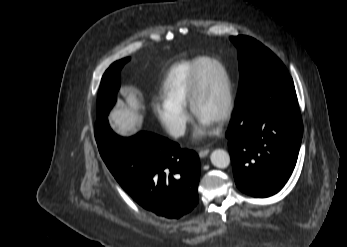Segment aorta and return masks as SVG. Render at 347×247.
I'll list each match as a JSON object with an SVG mask.
<instances>
[{"mask_svg":"<svg viewBox=\"0 0 347 247\" xmlns=\"http://www.w3.org/2000/svg\"><path fill=\"white\" fill-rule=\"evenodd\" d=\"M211 163L217 168H227L230 164V155L223 149H216L211 153Z\"/></svg>","mask_w":347,"mask_h":247,"instance_id":"aorta-1","label":"aorta"}]
</instances>
